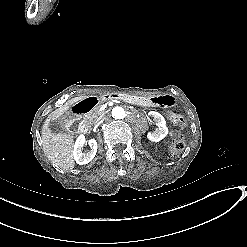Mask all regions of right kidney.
Returning a JSON list of instances; mask_svg holds the SVG:
<instances>
[{"label":"right kidney","mask_w":247,"mask_h":247,"mask_svg":"<svg viewBox=\"0 0 247 247\" xmlns=\"http://www.w3.org/2000/svg\"><path fill=\"white\" fill-rule=\"evenodd\" d=\"M86 143V138L83 134L79 135L74 144L73 156L77 164L84 165L88 164L95 157L97 153V141L95 139H90L88 145L91 150L88 152H83V146Z\"/></svg>","instance_id":"ca27d5eb"}]
</instances>
